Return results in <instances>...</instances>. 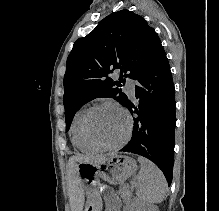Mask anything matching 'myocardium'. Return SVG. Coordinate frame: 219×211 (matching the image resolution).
Here are the masks:
<instances>
[{
    "label": "myocardium",
    "mask_w": 219,
    "mask_h": 211,
    "mask_svg": "<svg viewBox=\"0 0 219 211\" xmlns=\"http://www.w3.org/2000/svg\"><path fill=\"white\" fill-rule=\"evenodd\" d=\"M102 106L114 107L117 110H119L126 118L127 127H126L125 134L117 143H114V144L100 143V142L96 141L90 133V130H89L90 117H91L94 110H96L97 108L102 107ZM132 125H133L132 117L126 109H124L122 106H120L117 103H114L112 101H101V102H97V103L93 104L92 106H90L86 110V112L83 116V119H82V132H83V135H84V138L86 139V141L89 144H91L92 146L96 147L97 149L112 150V149H117V148L123 146L129 140L131 130H132Z\"/></svg>",
    "instance_id": "obj_1"
}]
</instances>
